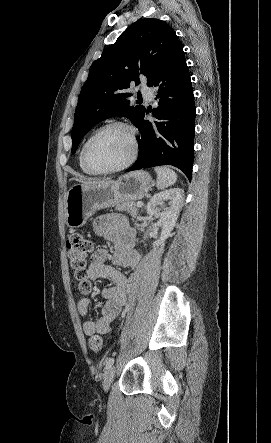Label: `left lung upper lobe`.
Listing matches in <instances>:
<instances>
[{"label": "left lung upper lobe", "instance_id": "1", "mask_svg": "<svg viewBox=\"0 0 271 443\" xmlns=\"http://www.w3.org/2000/svg\"><path fill=\"white\" fill-rule=\"evenodd\" d=\"M182 45L174 30L164 21L145 18L130 25L94 61L79 95L71 131L72 154L83 136L97 123L115 115L126 116L137 127L146 111L130 106L131 83L140 84L162 65L171 51Z\"/></svg>", "mask_w": 271, "mask_h": 443}]
</instances>
